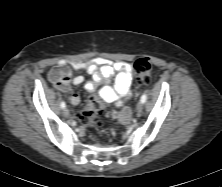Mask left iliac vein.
I'll return each instance as SVG.
<instances>
[{
	"mask_svg": "<svg viewBox=\"0 0 222 187\" xmlns=\"http://www.w3.org/2000/svg\"><path fill=\"white\" fill-rule=\"evenodd\" d=\"M143 108H144V105H143L142 102H139V103L137 104V106H136V110H137L138 113H141L142 110H143Z\"/></svg>",
	"mask_w": 222,
	"mask_h": 187,
	"instance_id": "obj_1",
	"label": "left iliac vein"
}]
</instances>
